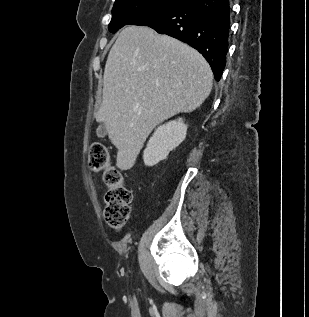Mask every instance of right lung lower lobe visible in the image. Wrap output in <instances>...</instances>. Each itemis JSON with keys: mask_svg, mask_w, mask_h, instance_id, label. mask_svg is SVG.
Here are the masks:
<instances>
[{"mask_svg": "<svg viewBox=\"0 0 309 317\" xmlns=\"http://www.w3.org/2000/svg\"><path fill=\"white\" fill-rule=\"evenodd\" d=\"M129 24L149 26L197 49L220 80L230 31L228 0H183L146 13Z\"/></svg>", "mask_w": 309, "mask_h": 317, "instance_id": "obj_1", "label": "right lung lower lobe"}]
</instances>
